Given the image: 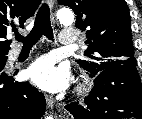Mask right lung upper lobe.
<instances>
[{"label":"right lung upper lobe","instance_id":"1","mask_svg":"<svg viewBox=\"0 0 142 119\" xmlns=\"http://www.w3.org/2000/svg\"><path fill=\"white\" fill-rule=\"evenodd\" d=\"M41 0H0V54H8L10 41L7 32L23 28L24 22L34 15Z\"/></svg>","mask_w":142,"mask_h":119}]
</instances>
